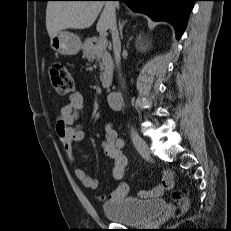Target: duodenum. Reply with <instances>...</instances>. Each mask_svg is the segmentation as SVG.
<instances>
[{
    "mask_svg": "<svg viewBox=\"0 0 231 231\" xmlns=\"http://www.w3.org/2000/svg\"><path fill=\"white\" fill-rule=\"evenodd\" d=\"M107 102L110 108L119 110L122 107V95L118 91H111L107 95Z\"/></svg>",
    "mask_w": 231,
    "mask_h": 231,
    "instance_id": "410a0bca",
    "label": "duodenum"
}]
</instances>
